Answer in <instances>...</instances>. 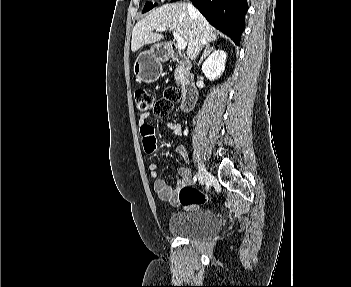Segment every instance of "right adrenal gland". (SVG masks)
<instances>
[{
  "label": "right adrenal gland",
  "instance_id": "right-adrenal-gland-1",
  "mask_svg": "<svg viewBox=\"0 0 351 287\" xmlns=\"http://www.w3.org/2000/svg\"><path fill=\"white\" fill-rule=\"evenodd\" d=\"M213 50H214V47H213V46L210 47V44H209V43L206 44V45H205L204 52H203V54H202V56H201V58H200V60H199V62H198L197 65L199 66V65L202 63L203 59L206 58Z\"/></svg>",
  "mask_w": 351,
  "mask_h": 287
}]
</instances>
